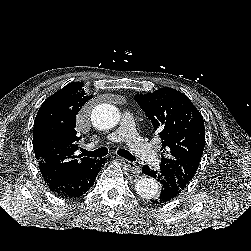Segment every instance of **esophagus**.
Here are the masks:
<instances>
[{
	"instance_id": "1",
	"label": "esophagus",
	"mask_w": 251,
	"mask_h": 251,
	"mask_svg": "<svg viewBox=\"0 0 251 251\" xmlns=\"http://www.w3.org/2000/svg\"><path fill=\"white\" fill-rule=\"evenodd\" d=\"M116 157H117L119 160H121V161H126L127 166H128V168H129V170L131 171V173H133V174H139V173L141 172V167H140V165H139L138 163L132 162V161H128V160L122 158V157L119 156V155H116Z\"/></svg>"
}]
</instances>
